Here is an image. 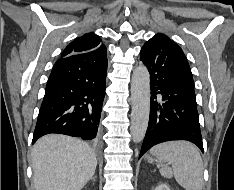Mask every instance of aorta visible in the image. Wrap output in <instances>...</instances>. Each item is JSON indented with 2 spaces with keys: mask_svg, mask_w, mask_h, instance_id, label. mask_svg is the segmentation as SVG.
I'll use <instances>...</instances> for the list:
<instances>
[{
  "mask_svg": "<svg viewBox=\"0 0 234 190\" xmlns=\"http://www.w3.org/2000/svg\"><path fill=\"white\" fill-rule=\"evenodd\" d=\"M131 127L135 143L141 142L146 134L150 113V76L144 65L136 67L131 80Z\"/></svg>",
  "mask_w": 234,
  "mask_h": 190,
  "instance_id": "aorta-1",
  "label": "aorta"
}]
</instances>
